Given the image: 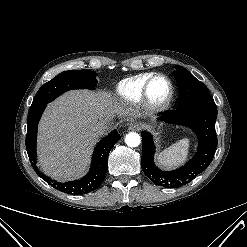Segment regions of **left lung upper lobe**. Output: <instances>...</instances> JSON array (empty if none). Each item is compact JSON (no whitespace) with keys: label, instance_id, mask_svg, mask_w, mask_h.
Here are the masks:
<instances>
[{"label":"left lung upper lobe","instance_id":"left-lung-upper-lobe-1","mask_svg":"<svg viewBox=\"0 0 247 247\" xmlns=\"http://www.w3.org/2000/svg\"><path fill=\"white\" fill-rule=\"evenodd\" d=\"M174 76L179 87L177 108L200 101L213 100L207 87L182 66H176Z\"/></svg>","mask_w":247,"mask_h":247}]
</instances>
